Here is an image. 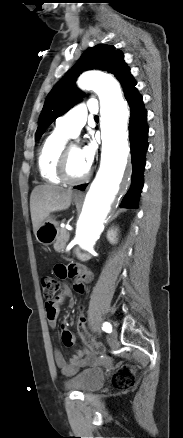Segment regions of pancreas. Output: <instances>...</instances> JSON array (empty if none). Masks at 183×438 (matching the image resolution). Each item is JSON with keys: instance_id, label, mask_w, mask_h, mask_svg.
<instances>
[{"instance_id": "pancreas-1", "label": "pancreas", "mask_w": 183, "mask_h": 438, "mask_svg": "<svg viewBox=\"0 0 183 438\" xmlns=\"http://www.w3.org/2000/svg\"><path fill=\"white\" fill-rule=\"evenodd\" d=\"M70 234L65 229H59V234L54 243V249L58 253L64 252L67 242L69 241Z\"/></svg>"}]
</instances>
